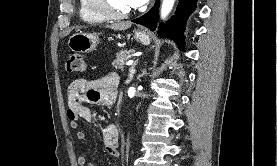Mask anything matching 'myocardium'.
<instances>
[{
	"instance_id": "myocardium-1",
	"label": "myocardium",
	"mask_w": 277,
	"mask_h": 166,
	"mask_svg": "<svg viewBox=\"0 0 277 166\" xmlns=\"http://www.w3.org/2000/svg\"><path fill=\"white\" fill-rule=\"evenodd\" d=\"M87 8L94 14L104 18L105 20H123L130 17L132 10L123 13H116L110 10L103 0H85Z\"/></svg>"
}]
</instances>
